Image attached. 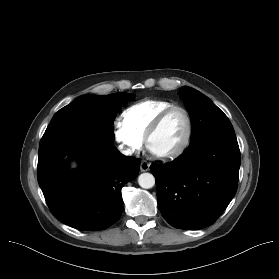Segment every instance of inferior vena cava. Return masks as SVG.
Instances as JSON below:
<instances>
[{
    "mask_svg": "<svg viewBox=\"0 0 279 279\" xmlns=\"http://www.w3.org/2000/svg\"><path fill=\"white\" fill-rule=\"evenodd\" d=\"M120 151L122 154L128 156V155H132L133 154V150L132 149H129V148H123L121 147L120 148Z\"/></svg>",
    "mask_w": 279,
    "mask_h": 279,
    "instance_id": "obj_1",
    "label": "inferior vena cava"
}]
</instances>
